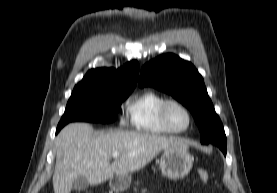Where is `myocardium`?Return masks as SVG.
<instances>
[{
  "label": "myocardium",
  "mask_w": 277,
  "mask_h": 193,
  "mask_svg": "<svg viewBox=\"0 0 277 193\" xmlns=\"http://www.w3.org/2000/svg\"><path fill=\"white\" fill-rule=\"evenodd\" d=\"M171 104H176V105L180 106L185 111V113L187 114L188 125L186 126V128H184L182 130H177V129H174L170 125V123L168 121V118H167V110H168V107ZM159 119H160V123L163 126V128L168 133H172V134H182V133H185V132H187L191 128V126L193 124V116H192V113H191L190 109L183 102H181V101H179L177 99H166L163 102V104L160 107V111H159Z\"/></svg>",
  "instance_id": "1"
}]
</instances>
